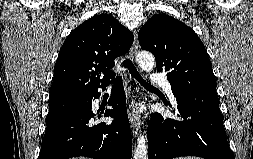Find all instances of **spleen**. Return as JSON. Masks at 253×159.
Returning <instances> with one entry per match:
<instances>
[{
  "mask_svg": "<svg viewBox=\"0 0 253 159\" xmlns=\"http://www.w3.org/2000/svg\"><path fill=\"white\" fill-rule=\"evenodd\" d=\"M176 159H201V158L193 157V156H187V157H180V158H176Z\"/></svg>",
  "mask_w": 253,
  "mask_h": 159,
  "instance_id": "obj_1",
  "label": "spleen"
}]
</instances>
